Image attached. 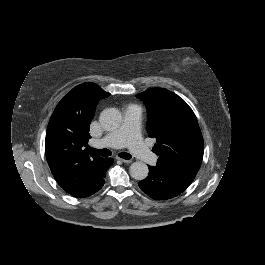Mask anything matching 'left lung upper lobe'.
Returning a JSON list of instances; mask_svg holds the SVG:
<instances>
[{"label":"left lung upper lobe","mask_w":265,"mask_h":265,"mask_svg":"<svg viewBox=\"0 0 265 265\" xmlns=\"http://www.w3.org/2000/svg\"><path fill=\"white\" fill-rule=\"evenodd\" d=\"M148 110L146 129L155 138L157 166L198 172L204 142L197 118L178 95L163 88H152L137 95ZM154 151V150H153Z\"/></svg>","instance_id":"1"}]
</instances>
